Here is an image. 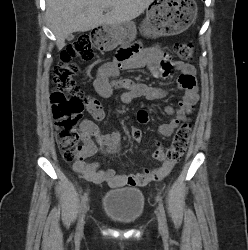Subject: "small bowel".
Listing matches in <instances>:
<instances>
[{
  "label": "small bowel",
  "instance_id": "1",
  "mask_svg": "<svg viewBox=\"0 0 248 250\" xmlns=\"http://www.w3.org/2000/svg\"><path fill=\"white\" fill-rule=\"evenodd\" d=\"M146 67L150 73L159 79L168 80L172 70L180 72L177 85L184 91L183 98L176 108L166 107V112L171 119L159 127V133L164 137H170L184 118L185 110L198 101V89L195 80L193 65L181 61H173L159 45L144 47L135 44L129 48V57L123 61L103 64L94 79L96 92L104 98L110 97L115 89L124 90L121 96L123 102H130L135 98L147 100H159L166 96V91L161 87L137 83L130 79L118 78L120 70H128ZM87 106L93 120L83 119L79 126L80 140L82 142L78 160L73 169L87 181L100 184L108 183L113 188L122 186H144L151 181L164 179L173 168V163L164 154V148L156 142L157 149L153 157L161 164L155 169H143L139 173L118 175L113 169H99L98 163H88L86 159L94 156L99 151L106 150L117 153L121 136L116 130L102 133L96 122L105 119V112L100 103L90 97ZM137 121L146 124L149 121L148 112L144 109L137 113Z\"/></svg>",
  "mask_w": 248,
  "mask_h": 250
}]
</instances>
